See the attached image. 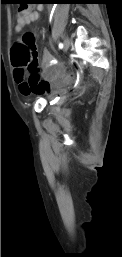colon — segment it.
<instances>
[{
	"label": "colon",
	"instance_id": "1",
	"mask_svg": "<svg viewBox=\"0 0 122 257\" xmlns=\"http://www.w3.org/2000/svg\"><path fill=\"white\" fill-rule=\"evenodd\" d=\"M27 9V6L22 5L20 11ZM11 59L16 68H26L29 75L33 79L39 73L37 54L35 50V37L32 33H25L22 38L14 45L11 51ZM67 80L64 81L65 85H72L77 82V73L73 72L72 68H67Z\"/></svg>",
	"mask_w": 122,
	"mask_h": 257
}]
</instances>
